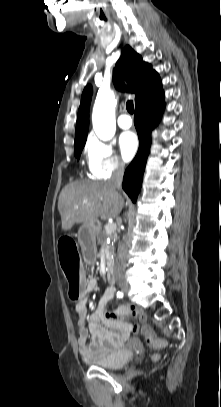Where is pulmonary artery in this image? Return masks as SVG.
Wrapping results in <instances>:
<instances>
[{"instance_id":"pulmonary-artery-1","label":"pulmonary artery","mask_w":221,"mask_h":407,"mask_svg":"<svg viewBox=\"0 0 221 407\" xmlns=\"http://www.w3.org/2000/svg\"><path fill=\"white\" fill-rule=\"evenodd\" d=\"M117 123L120 128L128 129L132 126L133 121L127 113H123L118 117Z\"/></svg>"}]
</instances>
